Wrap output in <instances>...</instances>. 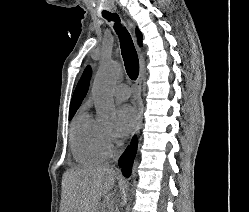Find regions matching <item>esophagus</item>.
<instances>
[{"label": "esophagus", "mask_w": 249, "mask_h": 212, "mask_svg": "<svg viewBox=\"0 0 249 212\" xmlns=\"http://www.w3.org/2000/svg\"><path fill=\"white\" fill-rule=\"evenodd\" d=\"M140 54V74L139 78L136 82V89H137V104H138V114H137V122H136V127H135V133H139L141 127L143 126V109L141 105V86H142V80H143V75H144V57L141 51L139 50Z\"/></svg>", "instance_id": "obj_1"}]
</instances>
